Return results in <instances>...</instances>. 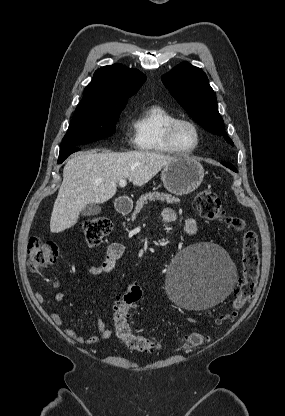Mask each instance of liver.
Here are the masks:
<instances>
[{
	"mask_svg": "<svg viewBox=\"0 0 285 416\" xmlns=\"http://www.w3.org/2000/svg\"><path fill=\"white\" fill-rule=\"evenodd\" d=\"M173 160L176 158L162 152H80L64 166L63 182L50 220V232L58 234L75 226L80 212L88 204L108 202L115 196L119 180L128 178L134 186H144Z\"/></svg>",
	"mask_w": 285,
	"mask_h": 416,
	"instance_id": "obj_1",
	"label": "liver"
}]
</instances>
